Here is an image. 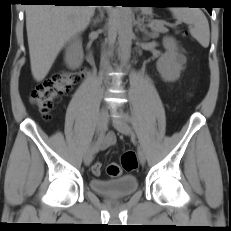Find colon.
<instances>
[{
	"instance_id": "colon-1",
	"label": "colon",
	"mask_w": 231,
	"mask_h": 231,
	"mask_svg": "<svg viewBox=\"0 0 231 231\" xmlns=\"http://www.w3.org/2000/svg\"><path fill=\"white\" fill-rule=\"evenodd\" d=\"M82 70H67L53 74L49 79L37 85L30 94L31 103L40 111L45 119H50V111L56 100L61 99L81 80ZM138 167L137 155L134 151H126L121 157V164L111 163L106 172L110 177H117L122 170L133 171ZM94 175H100L102 164L95 162L91 167Z\"/></svg>"
}]
</instances>
